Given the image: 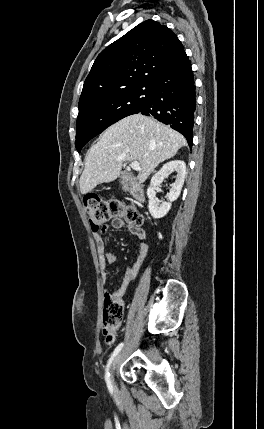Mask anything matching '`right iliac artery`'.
<instances>
[{
    "label": "right iliac artery",
    "instance_id": "right-iliac-artery-1",
    "mask_svg": "<svg viewBox=\"0 0 264 429\" xmlns=\"http://www.w3.org/2000/svg\"><path fill=\"white\" fill-rule=\"evenodd\" d=\"M123 345H124L123 343H120V344L115 348V350L113 351V353H112V355H111L110 359H109V360H108V362H107L106 372H105V380H106V383H107V386H108L109 390H112V384H111V381H110V373H109V369H110V366H111V364H112V361H113V360H114V358L118 355V353L121 351V349H122Z\"/></svg>",
    "mask_w": 264,
    "mask_h": 429
}]
</instances>
